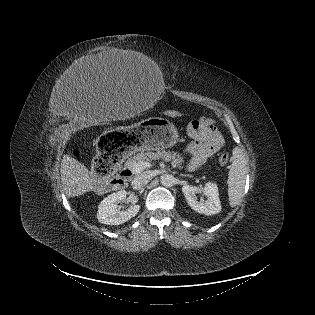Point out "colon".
Returning <instances> with one entry per match:
<instances>
[{"label": "colon", "mask_w": 315, "mask_h": 315, "mask_svg": "<svg viewBox=\"0 0 315 315\" xmlns=\"http://www.w3.org/2000/svg\"><path fill=\"white\" fill-rule=\"evenodd\" d=\"M167 115L170 117H177L179 116V112L169 111ZM117 161L118 159L113 160V161L105 160L100 155V153L97 155L93 163V172L96 176L99 187L104 188L115 183ZM228 161H229V154L227 152L222 153L219 157V163L221 165H226Z\"/></svg>", "instance_id": "5ec220e1"}]
</instances>
